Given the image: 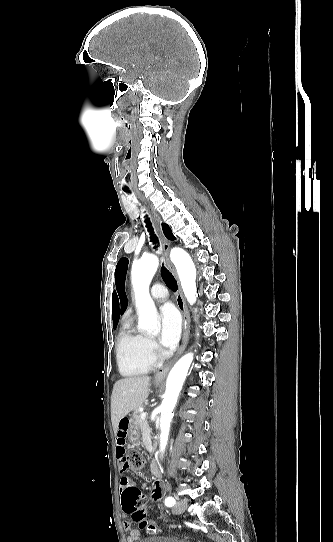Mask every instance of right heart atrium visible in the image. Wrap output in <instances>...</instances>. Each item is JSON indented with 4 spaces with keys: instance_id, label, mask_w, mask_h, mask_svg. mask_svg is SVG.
<instances>
[{
    "instance_id": "right-heart-atrium-1",
    "label": "right heart atrium",
    "mask_w": 333,
    "mask_h": 542,
    "mask_svg": "<svg viewBox=\"0 0 333 542\" xmlns=\"http://www.w3.org/2000/svg\"><path fill=\"white\" fill-rule=\"evenodd\" d=\"M149 345H150V347L153 346V341H152V339L149 340Z\"/></svg>"
}]
</instances>
